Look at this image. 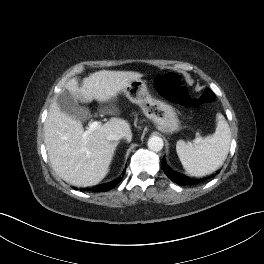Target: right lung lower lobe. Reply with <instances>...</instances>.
Here are the masks:
<instances>
[{"mask_svg":"<svg viewBox=\"0 0 264 264\" xmlns=\"http://www.w3.org/2000/svg\"><path fill=\"white\" fill-rule=\"evenodd\" d=\"M122 177L117 178L116 180L112 181L111 183L104 184L101 186H96L92 189L94 192H105L108 191L110 188H114L120 181Z\"/></svg>","mask_w":264,"mask_h":264,"instance_id":"98d812e1","label":"right lung lower lobe"}]
</instances>
